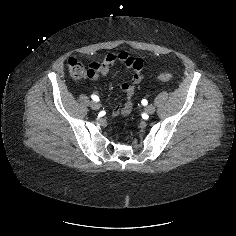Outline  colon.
<instances>
[{
	"label": "colon",
	"mask_w": 236,
	"mask_h": 236,
	"mask_svg": "<svg viewBox=\"0 0 236 236\" xmlns=\"http://www.w3.org/2000/svg\"><path fill=\"white\" fill-rule=\"evenodd\" d=\"M67 68L68 72L71 77L75 79H80L84 77H89L90 71L88 68H86L81 62H79L75 58H69L67 61ZM172 74L170 72H164L161 73L158 77L157 80L159 82H167L171 80Z\"/></svg>",
	"instance_id": "5ec220e1"
}]
</instances>
